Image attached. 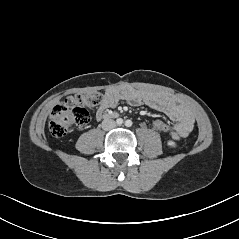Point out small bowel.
Instances as JSON below:
<instances>
[{
    "instance_id": "small-bowel-1",
    "label": "small bowel",
    "mask_w": 239,
    "mask_h": 239,
    "mask_svg": "<svg viewBox=\"0 0 239 239\" xmlns=\"http://www.w3.org/2000/svg\"><path fill=\"white\" fill-rule=\"evenodd\" d=\"M120 101H127L131 105L145 104L166 114L174 122L167 132L174 140L187 137L194 127L193 114L174 96L130 86L106 90L96 112L97 119L103 118L106 110L114 107Z\"/></svg>"
}]
</instances>
